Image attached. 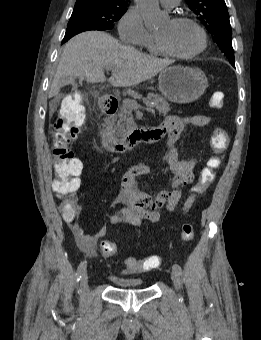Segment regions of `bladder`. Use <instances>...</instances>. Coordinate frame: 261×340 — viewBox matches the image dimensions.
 <instances>
[{"instance_id": "obj_1", "label": "bladder", "mask_w": 261, "mask_h": 340, "mask_svg": "<svg viewBox=\"0 0 261 340\" xmlns=\"http://www.w3.org/2000/svg\"><path fill=\"white\" fill-rule=\"evenodd\" d=\"M110 280L115 284L116 287L122 289H135L142 288L143 281L137 277H121L117 275H111Z\"/></svg>"}]
</instances>
